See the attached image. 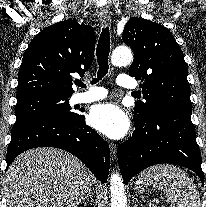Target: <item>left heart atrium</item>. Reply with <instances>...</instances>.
<instances>
[{"mask_svg": "<svg viewBox=\"0 0 206 207\" xmlns=\"http://www.w3.org/2000/svg\"><path fill=\"white\" fill-rule=\"evenodd\" d=\"M90 124L112 139H121L130 129L127 113L114 103H103L92 107L89 114Z\"/></svg>", "mask_w": 206, "mask_h": 207, "instance_id": "left-heart-atrium-1", "label": "left heart atrium"}]
</instances>
